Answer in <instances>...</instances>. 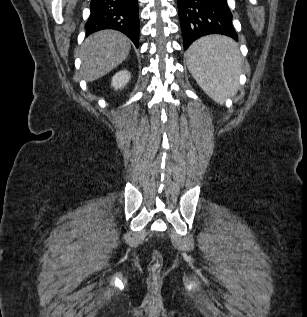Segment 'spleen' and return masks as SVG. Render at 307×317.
Returning a JSON list of instances; mask_svg holds the SVG:
<instances>
[{
  "label": "spleen",
  "instance_id": "obj_1",
  "mask_svg": "<svg viewBox=\"0 0 307 317\" xmlns=\"http://www.w3.org/2000/svg\"><path fill=\"white\" fill-rule=\"evenodd\" d=\"M188 68L200 87L217 103L237 92L240 53L230 38L213 35L197 40L187 52Z\"/></svg>",
  "mask_w": 307,
  "mask_h": 317
}]
</instances>
